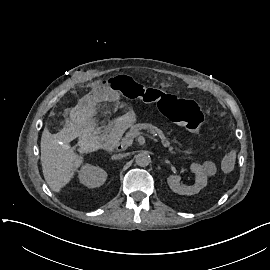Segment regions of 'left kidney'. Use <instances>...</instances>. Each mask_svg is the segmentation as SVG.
<instances>
[{
	"instance_id": "obj_1",
	"label": "left kidney",
	"mask_w": 270,
	"mask_h": 270,
	"mask_svg": "<svg viewBox=\"0 0 270 270\" xmlns=\"http://www.w3.org/2000/svg\"><path fill=\"white\" fill-rule=\"evenodd\" d=\"M190 169L196 174V182L192 186L181 185V177L179 175H171L167 178L168 185L173 192L180 195H193L197 194L207 185V175L203 172V168L200 164L192 163Z\"/></svg>"
}]
</instances>
